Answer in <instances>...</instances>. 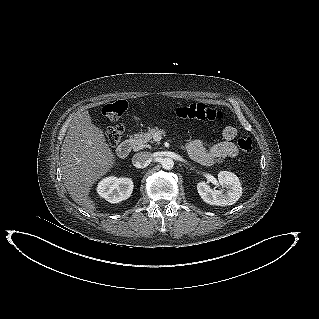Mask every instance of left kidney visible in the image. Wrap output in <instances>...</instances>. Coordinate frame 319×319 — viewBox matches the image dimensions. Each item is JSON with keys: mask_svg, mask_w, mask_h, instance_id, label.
Returning <instances> with one entry per match:
<instances>
[{"mask_svg": "<svg viewBox=\"0 0 319 319\" xmlns=\"http://www.w3.org/2000/svg\"><path fill=\"white\" fill-rule=\"evenodd\" d=\"M221 190H213L204 181L197 184V190L204 202L210 205L227 206L235 204L242 195L239 178L232 172L221 171L218 173Z\"/></svg>", "mask_w": 319, "mask_h": 319, "instance_id": "left-kidney-1", "label": "left kidney"}]
</instances>
